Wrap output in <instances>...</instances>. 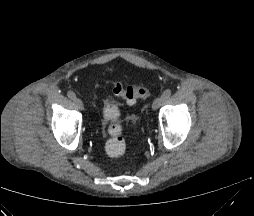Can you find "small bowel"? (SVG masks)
Segmentation results:
<instances>
[{
	"label": "small bowel",
	"mask_w": 254,
	"mask_h": 216,
	"mask_svg": "<svg viewBox=\"0 0 254 216\" xmlns=\"http://www.w3.org/2000/svg\"><path fill=\"white\" fill-rule=\"evenodd\" d=\"M108 102H110V101H109V100H106V101H105V103H108Z\"/></svg>",
	"instance_id": "1"
}]
</instances>
